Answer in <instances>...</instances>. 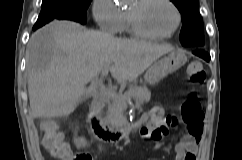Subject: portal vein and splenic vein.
Returning a JSON list of instances; mask_svg holds the SVG:
<instances>
[{
  "instance_id": "portal-vein-and-splenic-vein-1",
  "label": "portal vein and splenic vein",
  "mask_w": 242,
  "mask_h": 160,
  "mask_svg": "<svg viewBox=\"0 0 242 160\" xmlns=\"http://www.w3.org/2000/svg\"><path fill=\"white\" fill-rule=\"evenodd\" d=\"M113 67H111L110 65L109 66H106L102 69V73H101V77H105L108 75V72L109 70H112ZM102 78L100 79V92L101 94H104L106 96H109L111 98H116L117 97V94L116 92L113 90V89H110V88H106L103 84V80ZM138 106V104H136Z\"/></svg>"
}]
</instances>
